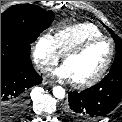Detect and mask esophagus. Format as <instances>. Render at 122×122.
<instances>
[{"instance_id":"34e87169","label":"esophagus","mask_w":122,"mask_h":122,"mask_svg":"<svg viewBox=\"0 0 122 122\" xmlns=\"http://www.w3.org/2000/svg\"><path fill=\"white\" fill-rule=\"evenodd\" d=\"M43 84L44 85H49V86H53L54 85V83L52 82V81H50V80H48V79H43Z\"/></svg>"}]
</instances>
